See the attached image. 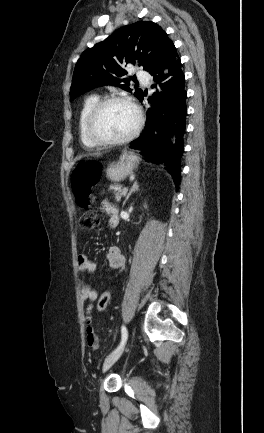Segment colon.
I'll list each match as a JSON object with an SVG mask.
<instances>
[{
    "label": "colon",
    "mask_w": 264,
    "mask_h": 433,
    "mask_svg": "<svg viewBox=\"0 0 264 433\" xmlns=\"http://www.w3.org/2000/svg\"><path fill=\"white\" fill-rule=\"evenodd\" d=\"M101 171V164L97 161H86L74 168L71 176V186L77 204L81 208H89L92 200V188L100 181ZM98 223V214L93 210H86L80 217V227L83 230H92ZM111 298L112 293L110 290L102 293L97 302L99 313L106 311Z\"/></svg>",
    "instance_id": "obj_1"
}]
</instances>
